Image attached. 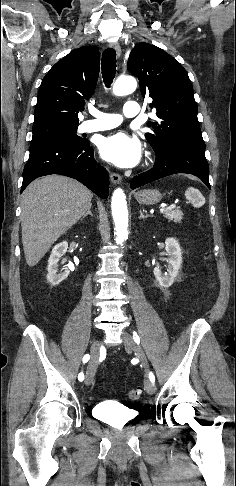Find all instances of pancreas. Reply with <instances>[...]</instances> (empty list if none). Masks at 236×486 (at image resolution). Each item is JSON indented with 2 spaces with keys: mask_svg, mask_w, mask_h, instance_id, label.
I'll use <instances>...</instances> for the list:
<instances>
[{
  "mask_svg": "<svg viewBox=\"0 0 236 486\" xmlns=\"http://www.w3.org/2000/svg\"><path fill=\"white\" fill-rule=\"evenodd\" d=\"M182 211H167L164 213V217H166L169 221H174L175 223H180L183 218Z\"/></svg>",
  "mask_w": 236,
  "mask_h": 486,
  "instance_id": "pancreas-1",
  "label": "pancreas"
}]
</instances>
